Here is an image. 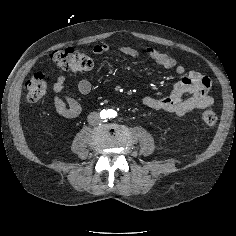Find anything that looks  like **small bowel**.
<instances>
[{
	"instance_id": "1",
	"label": "small bowel",
	"mask_w": 236,
	"mask_h": 236,
	"mask_svg": "<svg viewBox=\"0 0 236 236\" xmlns=\"http://www.w3.org/2000/svg\"><path fill=\"white\" fill-rule=\"evenodd\" d=\"M110 45L106 43L98 44L93 47L95 55H101L110 50ZM118 50L130 58L138 59L141 51L130 46H119ZM145 54L151 58L157 65L165 69H173L181 79L173 86L167 96H145L142 104L146 107L165 111L179 117H183L191 112L198 111L213 105L214 100L209 95L210 80L197 71H188L177 63L171 56L160 52L154 46H147ZM66 84V77L59 76L54 85V106L57 113L64 118H75L81 112L79 102L71 96L63 94ZM78 91L81 94H88L92 85L87 79H82L77 84ZM185 93H190L191 97L183 99Z\"/></svg>"
}]
</instances>
